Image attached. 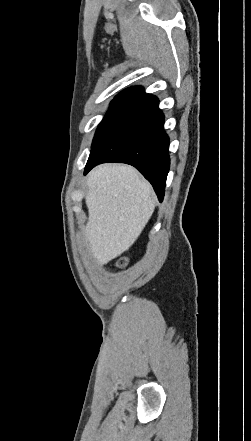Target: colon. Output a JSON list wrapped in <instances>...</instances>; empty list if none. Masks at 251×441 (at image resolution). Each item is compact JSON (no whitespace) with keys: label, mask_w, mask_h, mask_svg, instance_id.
Wrapping results in <instances>:
<instances>
[{"label":"colon","mask_w":251,"mask_h":441,"mask_svg":"<svg viewBox=\"0 0 251 441\" xmlns=\"http://www.w3.org/2000/svg\"><path fill=\"white\" fill-rule=\"evenodd\" d=\"M125 264H126L125 260H122V261L119 262V266H124Z\"/></svg>","instance_id":"1"}]
</instances>
